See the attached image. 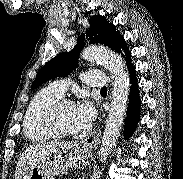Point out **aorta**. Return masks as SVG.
Returning <instances> with one entry per match:
<instances>
[{"mask_svg":"<svg viewBox=\"0 0 183 179\" xmlns=\"http://www.w3.org/2000/svg\"><path fill=\"white\" fill-rule=\"evenodd\" d=\"M81 57L87 61L102 63L114 79L109 116L99 151V161L103 162L113 150L123 123L129 96V75L122 58L107 48L87 47Z\"/></svg>","mask_w":183,"mask_h":179,"instance_id":"1","label":"aorta"}]
</instances>
